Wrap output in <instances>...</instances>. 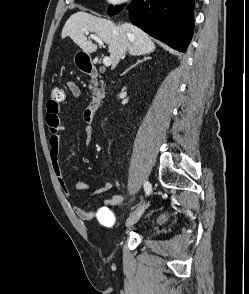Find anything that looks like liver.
Instances as JSON below:
<instances>
[{
  "label": "liver",
  "mask_w": 249,
  "mask_h": 294,
  "mask_svg": "<svg viewBox=\"0 0 249 294\" xmlns=\"http://www.w3.org/2000/svg\"><path fill=\"white\" fill-rule=\"evenodd\" d=\"M86 32L95 33L108 44V52L115 68L128 51L130 55L150 54L155 50L151 37L130 23L115 25L112 21L79 11L66 21L61 37L69 36L85 53H93L97 45L85 36Z\"/></svg>",
  "instance_id": "liver-1"
}]
</instances>
